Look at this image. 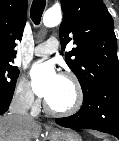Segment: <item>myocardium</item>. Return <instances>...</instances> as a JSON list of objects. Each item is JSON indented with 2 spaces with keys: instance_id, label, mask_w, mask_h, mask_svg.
I'll return each mask as SVG.
<instances>
[{
  "instance_id": "obj_1",
  "label": "myocardium",
  "mask_w": 119,
  "mask_h": 141,
  "mask_svg": "<svg viewBox=\"0 0 119 141\" xmlns=\"http://www.w3.org/2000/svg\"><path fill=\"white\" fill-rule=\"evenodd\" d=\"M60 76L71 82L74 89V93H75L74 102L70 107L66 109H54L49 105L47 100H45L44 109L48 114L53 116H62V117L71 116L76 114L83 105V102H84L83 88L79 79L74 73L70 71H65V72H62Z\"/></svg>"
}]
</instances>
